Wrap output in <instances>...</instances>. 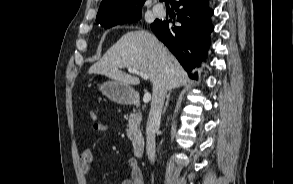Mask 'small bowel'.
Wrapping results in <instances>:
<instances>
[{
  "mask_svg": "<svg viewBox=\"0 0 293 184\" xmlns=\"http://www.w3.org/2000/svg\"><path fill=\"white\" fill-rule=\"evenodd\" d=\"M108 124L104 122H96L93 125L95 132H106ZM80 161L84 173H89L94 165V155L90 147H86L80 154ZM128 169V178L124 179L121 184H144L143 176L139 164L135 158H129L126 162Z\"/></svg>",
  "mask_w": 293,
  "mask_h": 184,
  "instance_id": "small-bowel-1",
  "label": "small bowel"
}]
</instances>
